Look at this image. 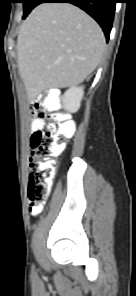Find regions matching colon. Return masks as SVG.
<instances>
[{"label":"colon","mask_w":136,"mask_h":296,"mask_svg":"<svg viewBox=\"0 0 136 296\" xmlns=\"http://www.w3.org/2000/svg\"><path fill=\"white\" fill-rule=\"evenodd\" d=\"M41 123L31 139L28 206L37 213L45 203L54 172L53 157L60 154L74 132V123L58 111L54 98L38 100L31 112Z\"/></svg>","instance_id":"5ec220e1"}]
</instances>
